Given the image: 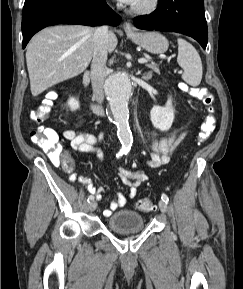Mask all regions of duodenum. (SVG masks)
Returning a JSON list of instances; mask_svg holds the SVG:
<instances>
[{
  "instance_id": "410a0bca",
  "label": "duodenum",
  "mask_w": 243,
  "mask_h": 289,
  "mask_svg": "<svg viewBox=\"0 0 243 289\" xmlns=\"http://www.w3.org/2000/svg\"><path fill=\"white\" fill-rule=\"evenodd\" d=\"M90 83V73L86 72L83 76V85L85 88H87L89 86ZM91 108L93 109V111L98 114V115H103V108L101 107V105H99L98 103L95 102H90Z\"/></svg>"
}]
</instances>
